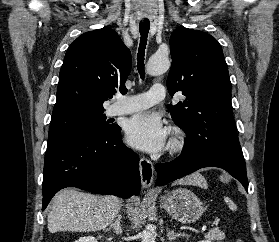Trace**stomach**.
Wrapping results in <instances>:
<instances>
[{
	"mask_svg": "<svg viewBox=\"0 0 279 242\" xmlns=\"http://www.w3.org/2000/svg\"><path fill=\"white\" fill-rule=\"evenodd\" d=\"M163 208L181 223H193L204 213L203 202L189 189L178 188L161 197Z\"/></svg>",
	"mask_w": 279,
	"mask_h": 242,
	"instance_id": "1",
	"label": "stomach"
}]
</instances>
